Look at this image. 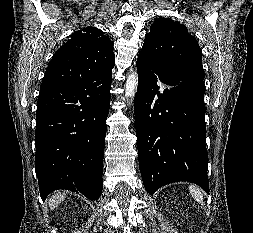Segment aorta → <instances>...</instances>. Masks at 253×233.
I'll list each match as a JSON object with an SVG mask.
<instances>
[{
	"instance_id": "1",
	"label": "aorta",
	"mask_w": 253,
	"mask_h": 233,
	"mask_svg": "<svg viewBox=\"0 0 253 233\" xmlns=\"http://www.w3.org/2000/svg\"><path fill=\"white\" fill-rule=\"evenodd\" d=\"M138 86V75L135 71H132L126 80L125 84V97L133 98L135 96Z\"/></svg>"
}]
</instances>
